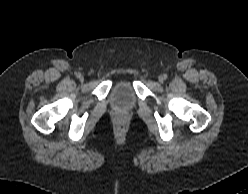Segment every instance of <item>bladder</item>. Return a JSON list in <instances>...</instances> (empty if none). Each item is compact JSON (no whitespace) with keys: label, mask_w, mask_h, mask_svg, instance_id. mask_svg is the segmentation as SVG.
Here are the masks:
<instances>
[{"label":"bladder","mask_w":248,"mask_h":194,"mask_svg":"<svg viewBox=\"0 0 248 194\" xmlns=\"http://www.w3.org/2000/svg\"><path fill=\"white\" fill-rule=\"evenodd\" d=\"M112 104L119 109H131L136 105V95L133 84L129 81H121L116 84L110 95Z\"/></svg>","instance_id":"1"}]
</instances>
